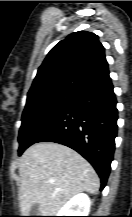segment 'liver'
I'll use <instances>...</instances> for the list:
<instances>
[{"label": "liver", "instance_id": "obj_1", "mask_svg": "<svg viewBox=\"0 0 132 217\" xmlns=\"http://www.w3.org/2000/svg\"><path fill=\"white\" fill-rule=\"evenodd\" d=\"M19 174L22 216H29L33 204H38L40 216H55L75 195L84 191L96 194L100 187L99 177L87 160L54 142L30 146L20 159Z\"/></svg>", "mask_w": 132, "mask_h": 217}]
</instances>
